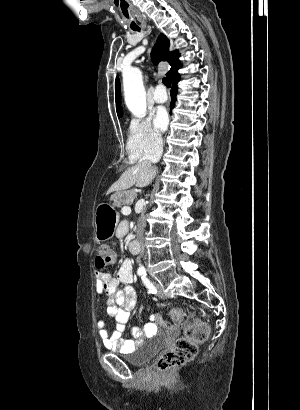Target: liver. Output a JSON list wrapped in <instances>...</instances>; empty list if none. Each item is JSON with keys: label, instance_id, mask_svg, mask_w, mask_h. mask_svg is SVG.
Returning <instances> with one entry per match:
<instances>
[{"label": "liver", "instance_id": "1", "mask_svg": "<svg viewBox=\"0 0 300 410\" xmlns=\"http://www.w3.org/2000/svg\"><path fill=\"white\" fill-rule=\"evenodd\" d=\"M154 176L152 166L134 165L123 172L118 181H116L108 190L107 194L113 191H122L136 185L137 187H146L150 184Z\"/></svg>", "mask_w": 300, "mask_h": 410}]
</instances>
